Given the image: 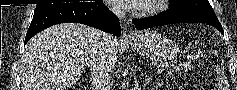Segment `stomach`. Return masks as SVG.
Masks as SVG:
<instances>
[{
  "instance_id": "0dacf381",
  "label": "stomach",
  "mask_w": 237,
  "mask_h": 90,
  "mask_svg": "<svg viewBox=\"0 0 237 90\" xmlns=\"http://www.w3.org/2000/svg\"><path fill=\"white\" fill-rule=\"evenodd\" d=\"M130 45L140 55L155 61L172 60L179 53V48L174 42L155 31L138 35Z\"/></svg>"
}]
</instances>
